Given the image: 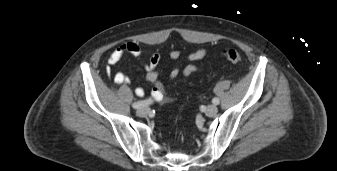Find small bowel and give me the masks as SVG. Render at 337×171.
<instances>
[{"instance_id":"1","label":"small bowel","mask_w":337,"mask_h":171,"mask_svg":"<svg viewBox=\"0 0 337 171\" xmlns=\"http://www.w3.org/2000/svg\"><path fill=\"white\" fill-rule=\"evenodd\" d=\"M125 54H130L139 60H141L145 71H146V79L150 83H152L153 87L151 90V97L156 101H165L169 102L171 100L170 96L166 93L165 88L162 82L159 80V76L161 74V70L159 69V63L161 59V55L158 51L153 52L147 59L143 57V51L141 47L135 42H125L115 48L107 60L106 72L108 76H112L114 82L118 85H126L130 83V78L122 71H117L112 75L111 66L116 65L120 62ZM208 54V49L206 47H201L196 51L190 53L187 56V60L189 62H195L203 59ZM181 51L180 50H172L168 58L171 61H176L180 58ZM201 68L192 63L187 64L185 66H176L174 67L168 78L170 81L175 80L180 74L184 76H190L195 72L200 71ZM135 94L139 97H142L145 94L143 88L138 87L135 89Z\"/></svg>"}]
</instances>
